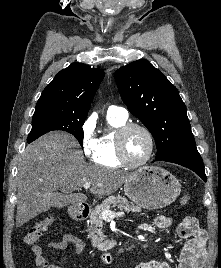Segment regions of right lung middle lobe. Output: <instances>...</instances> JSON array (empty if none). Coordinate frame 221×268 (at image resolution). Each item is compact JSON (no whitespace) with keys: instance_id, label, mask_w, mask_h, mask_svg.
<instances>
[{"instance_id":"right-lung-middle-lobe-1","label":"right lung middle lobe","mask_w":221,"mask_h":268,"mask_svg":"<svg viewBox=\"0 0 221 268\" xmlns=\"http://www.w3.org/2000/svg\"><path fill=\"white\" fill-rule=\"evenodd\" d=\"M86 115L60 110L35 111L32 119V129L28 141H34L43 134L60 130L68 132L83 145V129Z\"/></svg>"}]
</instances>
